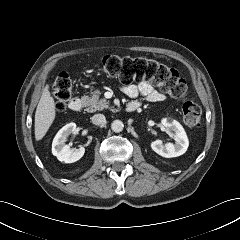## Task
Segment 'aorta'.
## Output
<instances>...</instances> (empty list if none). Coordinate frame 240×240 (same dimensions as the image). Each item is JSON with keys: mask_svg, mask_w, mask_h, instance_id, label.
Listing matches in <instances>:
<instances>
[{"mask_svg": "<svg viewBox=\"0 0 240 240\" xmlns=\"http://www.w3.org/2000/svg\"><path fill=\"white\" fill-rule=\"evenodd\" d=\"M124 128V124L121 120H114L111 123V129L115 133H120Z\"/></svg>", "mask_w": 240, "mask_h": 240, "instance_id": "1", "label": "aorta"}]
</instances>
